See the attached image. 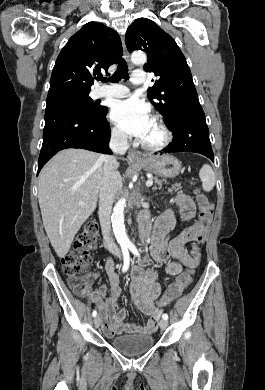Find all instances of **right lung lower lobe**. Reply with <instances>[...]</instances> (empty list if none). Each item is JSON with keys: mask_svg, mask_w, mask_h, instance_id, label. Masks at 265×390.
<instances>
[{"mask_svg": "<svg viewBox=\"0 0 265 390\" xmlns=\"http://www.w3.org/2000/svg\"><path fill=\"white\" fill-rule=\"evenodd\" d=\"M108 108L100 116H91L75 109L45 111L43 144L38 160V173L58 151L82 148L111 154L110 126L106 120Z\"/></svg>", "mask_w": 265, "mask_h": 390, "instance_id": "1", "label": "right lung lower lobe"}]
</instances>
